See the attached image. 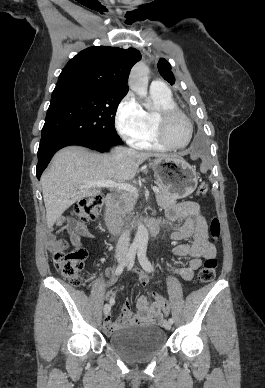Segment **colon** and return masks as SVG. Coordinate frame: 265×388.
I'll list each match as a JSON object with an SVG mask.
<instances>
[{"instance_id": "obj_1", "label": "colon", "mask_w": 265, "mask_h": 388, "mask_svg": "<svg viewBox=\"0 0 265 388\" xmlns=\"http://www.w3.org/2000/svg\"><path fill=\"white\" fill-rule=\"evenodd\" d=\"M208 187L205 183H201L197 188L199 197L206 196ZM103 198L99 195L92 196L79 201L73 208V214L83 222L95 219L101 212ZM211 235L217 239L220 236V222L217 218H213L210 224ZM87 256V251L83 247L76 248L70 252L57 251L54 255L55 268L68 280L73 286L82 284V269L83 263ZM217 268V260L214 257L207 258L198 273L199 281L203 283L210 282L214 279ZM154 301H156L162 309L165 316L170 314L169 303L152 293Z\"/></svg>"}]
</instances>
